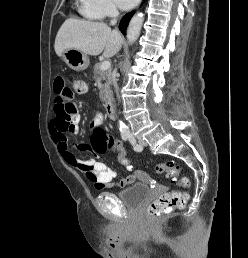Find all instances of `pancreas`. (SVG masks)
I'll return each instance as SVG.
<instances>
[{
  "label": "pancreas",
  "mask_w": 248,
  "mask_h": 258,
  "mask_svg": "<svg viewBox=\"0 0 248 258\" xmlns=\"http://www.w3.org/2000/svg\"><path fill=\"white\" fill-rule=\"evenodd\" d=\"M100 63H96L93 68V73L95 78L100 79L101 81H105L102 84V89L99 93L100 99L104 100L105 97L110 93V85L112 84V73L111 70H101Z\"/></svg>",
  "instance_id": "1"
}]
</instances>
